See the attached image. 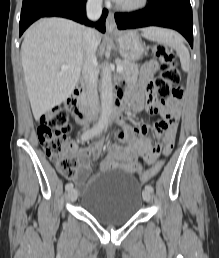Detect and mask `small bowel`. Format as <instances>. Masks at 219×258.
<instances>
[{"mask_svg":"<svg viewBox=\"0 0 219 258\" xmlns=\"http://www.w3.org/2000/svg\"><path fill=\"white\" fill-rule=\"evenodd\" d=\"M158 67V63L154 60L144 63L139 82L126 89L119 88L118 95L130 98L131 110L128 112V116L143 109V90L153 79ZM181 106L182 98L176 99L171 96L166 101H159L153 92L148 91L146 109L152 113H160L163 117L161 121L154 125L155 132L158 135L163 134L162 143L152 142L145 137L148 130L147 125L142 124L132 127L120 116L118 118L120 128L117 137L121 141V145H115L110 149L106 158L100 164V171L119 169L139 175V173L146 171L142 170L138 157H142L148 165H151L152 161H156L155 157L160 153L162 146L164 154L168 155L174 146ZM101 150L102 142H95L89 147H77L79 167L73 181L79 187L87 186L90 179L89 160H97L100 157Z\"/></svg>","mask_w":219,"mask_h":258,"instance_id":"1","label":"small bowel"}]
</instances>
